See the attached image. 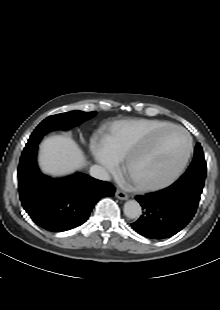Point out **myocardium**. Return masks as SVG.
I'll use <instances>...</instances> for the list:
<instances>
[{
    "label": "myocardium",
    "mask_w": 220,
    "mask_h": 310,
    "mask_svg": "<svg viewBox=\"0 0 220 310\" xmlns=\"http://www.w3.org/2000/svg\"><path fill=\"white\" fill-rule=\"evenodd\" d=\"M167 130H177L182 132L183 134H185V136L187 137L188 140V145H187V150L185 153V156L182 160V162L179 164V166L177 167V169L170 175L168 176L166 179L157 182V183H147V182H139V181H134L135 187L139 190L142 191H156V190H160L163 188L168 187L169 185H171L172 183H174L179 176L182 174V172L184 171L192 150H193V139L191 137V135L188 133V131L186 129H184L181 126L178 125H168L160 130H158L157 132H155L153 135H151L148 139H146L144 142H142L140 145H138L137 147H135L134 149H132L123 159V164H122V170L123 172L129 175V167L131 166L132 162L134 161V159L139 156L143 151H146V149H144V147H146V145L148 143H150L151 141L157 139L162 133H164Z\"/></svg>",
    "instance_id": "obj_1"
}]
</instances>
